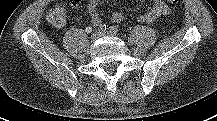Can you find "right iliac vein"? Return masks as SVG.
<instances>
[{
    "mask_svg": "<svg viewBox=\"0 0 217 121\" xmlns=\"http://www.w3.org/2000/svg\"><path fill=\"white\" fill-rule=\"evenodd\" d=\"M100 32H94L92 35H91V37H90V39H91V41L92 42H94V41H96L99 37H100Z\"/></svg>",
    "mask_w": 217,
    "mask_h": 121,
    "instance_id": "63e3f726",
    "label": "right iliac vein"
}]
</instances>
